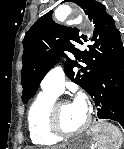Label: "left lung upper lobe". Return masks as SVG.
Here are the masks:
<instances>
[{"instance_id":"1","label":"left lung upper lobe","mask_w":124,"mask_h":149,"mask_svg":"<svg viewBox=\"0 0 124 149\" xmlns=\"http://www.w3.org/2000/svg\"><path fill=\"white\" fill-rule=\"evenodd\" d=\"M72 2L80 6L93 22V35L88 37L81 34L77 28L55 23L52 10L39 18L23 39L21 83L24 103L35 95L40 82L60 57H67L64 51L71 53L76 59L67 57L64 69L66 75L85 91L104 67L123 58L124 47L120 31L115 27V21L106 12L105 6L95 0ZM84 42H88L87 49L80 51L77 46ZM76 67L79 71L74 70Z\"/></svg>"}]
</instances>
